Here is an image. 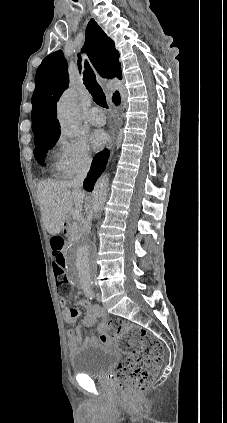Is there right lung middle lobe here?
<instances>
[{
	"label": "right lung middle lobe",
	"instance_id": "obj_1",
	"mask_svg": "<svg viewBox=\"0 0 227 423\" xmlns=\"http://www.w3.org/2000/svg\"><path fill=\"white\" fill-rule=\"evenodd\" d=\"M59 138V134L53 136L35 138L34 156L38 163L43 164L44 156L48 149L52 148Z\"/></svg>",
	"mask_w": 227,
	"mask_h": 423
}]
</instances>
